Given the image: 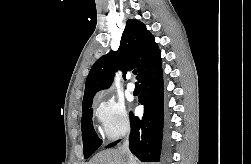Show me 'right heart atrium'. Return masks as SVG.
<instances>
[{
    "label": "right heart atrium",
    "mask_w": 251,
    "mask_h": 164,
    "mask_svg": "<svg viewBox=\"0 0 251 164\" xmlns=\"http://www.w3.org/2000/svg\"><path fill=\"white\" fill-rule=\"evenodd\" d=\"M95 117L107 141H115L129 131L130 120L125 105L112 96L105 97L98 104Z\"/></svg>",
    "instance_id": "obj_1"
}]
</instances>
